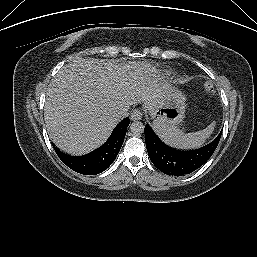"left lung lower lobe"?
<instances>
[{
    "instance_id": "left-lung-lower-lobe-1",
    "label": "left lung lower lobe",
    "mask_w": 257,
    "mask_h": 257,
    "mask_svg": "<svg viewBox=\"0 0 257 257\" xmlns=\"http://www.w3.org/2000/svg\"><path fill=\"white\" fill-rule=\"evenodd\" d=\"M144 134L148 155L155 167L167 175L183 176L207 162L220 141L222 130L211 143L195 150H176L168 147L148 124Z\"/></svg>"
}]
</instances>
